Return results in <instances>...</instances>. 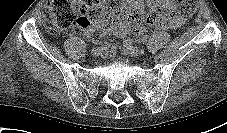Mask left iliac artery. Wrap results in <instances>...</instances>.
Here are the masks:
<instances>
[{"label":"left iliac artery","instance_id":"1","mask_svg":"<svg viewBox=\"0 0 227 133\" xmlns=\"http://www.w3.org/2000/svg\"><path fill=\"white\" fill-rule=\"evenodd\" d=\"M125 44L132 45L135 41L133 39L127 38L125 41ZM146 42V40H144Z\"/></svg>","mask_w":227,"mask_h":133}]
</instances>
